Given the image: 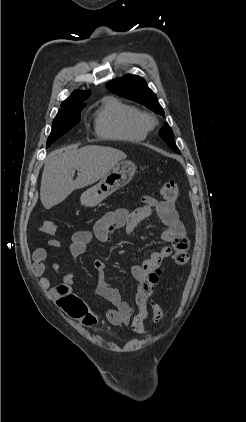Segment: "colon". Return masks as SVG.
<instances>
[{"label": "colon", "mask_w": 246, "mask_h": 422, "mask_svg": "<svg viewBox=\"0 0 246 422\" xmlns=\"http://www.w3.org/2000/svg\"><path fill=\"white\" fill-rule=\"evenodd\" d=\"M159 192L167 200H176L179 196V186L174 181H165L161 184ZM57 230L56 224L52 221H44L41 225V231L47 235H53ZM173 260L178 265H184L188 261V253L177 251L173 255ZM163 274L162 269H157L146 274L139 280L137 293L135 297L138 313L132 321V329L137 333L144 332V324L149 316L155 323H161L164 318V311L155 301H149L156 284Z\"/></svg>", "instance_id": "obj_1"}]
</instances>
